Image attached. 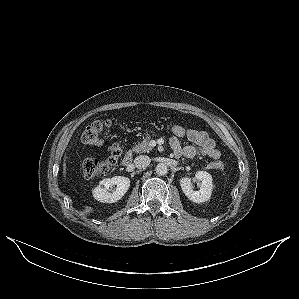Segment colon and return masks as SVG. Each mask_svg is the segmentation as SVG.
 <instances>
[{
	"label": "colon",
	"instance_id": "obj_1",
	"mask_svg": "<svg viewBox=\"0 0 299 299\" xmlns=\"http://www.w3.org/2000/svg\"><path fill=\"white\" fill-rule=\"evenodd\" d=\"M112 126V121H95L89 124L83 131L81 140L84 144L88 146H102L104 140L101 138V134L105 129ZM169 132L173 137L178 139L188 138L190 134V129L178 124H171L169 127ZM122 149L117 144H112L110 146V156L104 160H99L93 157H86L82 160V172L85 177L92 178L98 175L107 173L110 168L117 162L121 156ZM216 169H222L223 164L216 162L213 164Z\"/></svg>",
	"mask_w": 299,
	"mask_h": 299
}]
</instances>
